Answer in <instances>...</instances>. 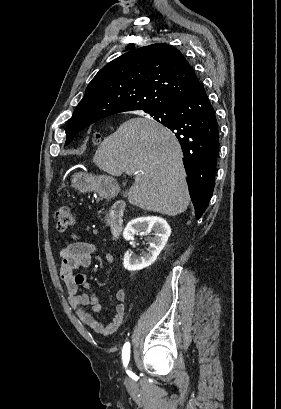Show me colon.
Listing matches in <instances>:
<instances>
[{"label": "colon", "instance_id": "colon-1", "mask_svg": "<svg viewBox=\"0 0 281 409\" xmlns=\"http://www.w3.org/2000/svg\"><path fill=\"white\" fill-rule=\"evenodd\" d=\"M95 142L101 140V136L96 134L94 137ZM55 222L59 231H65L71 226H73L75 221L74 211L70 207L61 206L55 211Z\"/></svg>", "mask_w": 281, "mask_h": 409}]
</instances>
